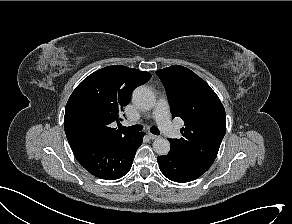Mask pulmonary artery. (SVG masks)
Segmentation results:
<instances>
[{"instance_id": "e3ab8cb5", "label": "pulmonary artery", "mask_w": 292, "mask_h": 224, "mask_svg": "<svg viewBox=\"0 0 292 224\" xmlns=\"http://www.w3.org/2000/svg\"><path fill=\"white\" fill-rule=\"evenodd\" d=\"M153 117L161 130L171 139H176L179 135L178 129L170 121L169 105L166 100L160 99L154 110Z\"/></svg>"}]
</instances>
